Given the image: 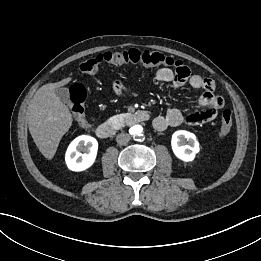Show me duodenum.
Wrapping results in <instances>:
<instances>
[{
	"instance_id": "duodenum-1",
	"label": "duodenum",
	"mask_w": 261,
	"mask_h": 261,
	"mask_svg": "<svg viewBox=\"0 0 261 261\" xmlns=\"http://www.w3.org/2000/svg\"><path fill=\"white\" fill-rule=\"evenodd\" d=\"M149 119L146 111H135L126 117L127 125H135ZM116 132L115 127L110 123H102L96 129V134L101 139L111 138Z\"/></svg>"
}]
</instances>
